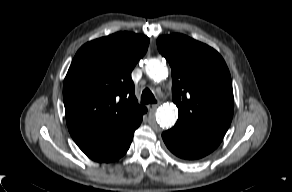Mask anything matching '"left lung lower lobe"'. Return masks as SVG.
<instances>
[{
	"mask_svg": "<svg viewBox=\"0 0 292 192\" xmlns=\"http://www.w3.org/2000/svg\"><path fill=\"white\" fill-rule=\"evenodd\" d=\"M167 148L177 157L185 160L202 158L215 150L222 139L179 128L162 133Z\"/></svg>",
	"mask_w": 292,
	"mask_h": 192,
	"instance_id": "left-lung-lower-lobe-1",
	"label": "left lung lower lobe"
}]
</instances>
